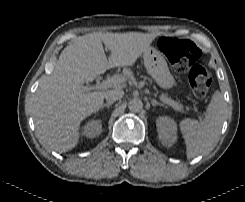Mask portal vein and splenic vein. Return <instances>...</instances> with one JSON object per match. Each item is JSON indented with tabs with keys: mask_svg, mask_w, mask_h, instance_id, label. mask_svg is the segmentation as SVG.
I'll use <instances>...</instances> for the list:
<instances>
[{
	"mask_svg": "<svg viewBox=\"0 0 245 202\" xmlns=\"http://www.w3.org/2000/svg\"><path fill=\"white\" fill-rule=\"evenodd\" d=\"M126 80H127V78L125 76L115 75V76H113L111 78H108V79L102 81L101 83H99V84H97L95 86H90V87L82 86V89L84 91H89V90H94V89L103 90V89L111 88V87H114V86H118V85L126 82ZM160 100L162 102H164L165 104L172 106L176 110H181L179 108H176L175 101L171 100L170 98H167L165 96H160Z\"/></svg>",
	"mask_w": 245,
	"mask_h": 202,
	"instance_id": "obj_1",
	"label": "portal vein and splenic vein"
}]
</instances>
